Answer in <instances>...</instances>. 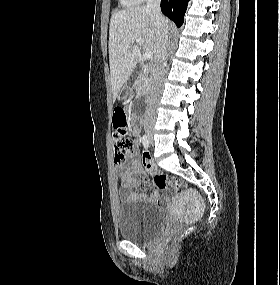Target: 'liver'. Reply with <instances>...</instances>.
I'll list each match as a JSON object with an SVG mask.
<instances>
[{
	"mask_svg": "<svg viewBox=\"0 0 280 285\" xmlns=\"http://www.w3.org/2000/svg\"><path fill=\"white\" fill-rule=\"evenodd\" d=\"M167 27L170 23L167 19ZM142 38L145 51H155L156 27L151 10L146 6L131 7L114 13L109 29V63L113 102L134 71L140 49L136 39Z\"/></svg>",
	"mask_w": 280,
	"mask_h": 285,
	"instance_id": "obj_1",
	"label": "liver"
}]
</instances>
